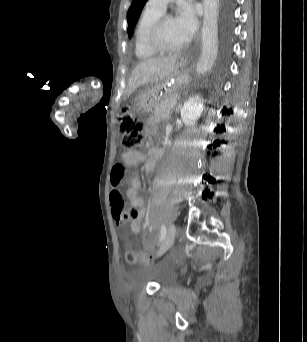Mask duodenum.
<instances>
[{
    "mask_svg": "<svg viewBox=\"0 0 307 342\" xmlns=\"http://www.w3.org/2000/svg\"><path fill=\"white\" fill-rule=\"evenodd\" d=\"M155 152H157V153H158V152H159V150H158V149H156V150H155Z\"/></svg>",
    "mask_w": 307,
    "mask_h": 342,
    "instance_id": "410a0bca",
    "label": "duodenum"
}]
</instances>
